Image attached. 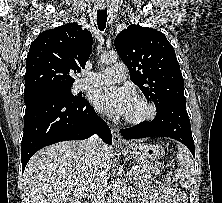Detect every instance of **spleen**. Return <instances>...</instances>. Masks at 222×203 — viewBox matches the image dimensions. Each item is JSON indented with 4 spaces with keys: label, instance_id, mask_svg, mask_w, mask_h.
<instances>
[{
    "label": "spleen",
    "instance_id": "obj_1",
    "mask_svg": "<svg viewBox=\"0 0 222 203\" xmlns=\"http://www.w3.org/2000/svg\"><path fill=\"white\" fill-rule=\"evenodd\" d=\"M177 160L180 168L176 170V179L182 186L189 189L195 177L194 162L189 150L181 144L178 145Z\"/></svg>",
    "mask_w": 222,
    "mask_h": 203
}]
</instances>
